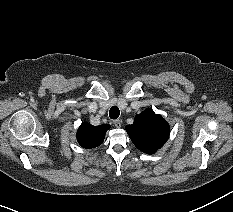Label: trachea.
Here are the masks:
<instances>
[{
  "mask_svg": "<svg viewBox=\"0 0 233 212\" xmlns=\"http://www.w3.org/2000/svg\"><path fill=\"white\" fill-rule=\"evenodd\" d=\"M120 115V110L117 106H113L111 107L110 111H109V117L111 119H117Z\"/></svg>",
  "mask_w": 233,
  "mask_h": 212,
  "instance_id": "3493384b",
  "label": "trachea"
}]
</instances>
